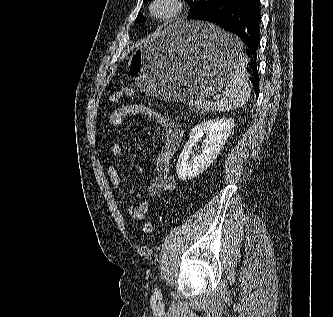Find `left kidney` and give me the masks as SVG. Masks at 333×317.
<instances>
[{
  "mask_svg": "<svg viewBox=\"0 0 333 317\" xmlns=\"http://www.w3.org/2000/svg\"><path fill=\"white\" fill-rule=\"evenodd\" d=\"M233 127L231 118L209 120L194 126L176 165L179 179L190 180L204 172L220 153ZM204 135L207 137L202 143V152L190 159L193 147Z\"/></svg>",
  "mask_w": 333,
  "mask_h": 317,
  "instance_id": "left-kidney-1",
  "label": "left kidney"
}]
</instances>
